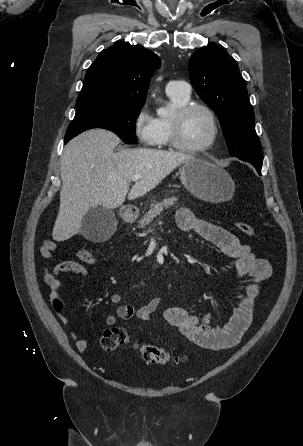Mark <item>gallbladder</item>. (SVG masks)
<instances>
[{
  "label": "gallbladder",
  "mask_w": 303,
  "mask_h": 446,
  "mask_svg": "<svg viewBox=\"0 0 303 446\" xmlns=\"http://www.w3.org/2000/svg\"><path fill=\"white\" fill-rule=\"evenodd\" d=\"M116 223L112 210L101 206L94 207L83 217L80 233L88 240L104 241L114 233Z\"/></svg>",
  "instance_id": "bac80fb5"
}]
</instances>
